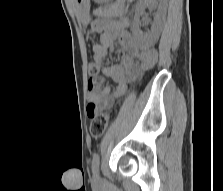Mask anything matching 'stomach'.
I'll return each mask as SVG.
<instances>
[{
	"mask_svg": "<svg viewBox=\"0 0 223 191\" xmlns=\"http://www.w3.org/2000/svg\"><path fill=\"white\" fill-rule=\"evenodd\" d=\"M97 2H104L105 0H95ZM77 13L84 23L89 22L90 0H74Z\"/></svg>",
	"mask_w": 223,
	"mask_h": 191,
	"instance_id": "stomach-1",
	"label": "stomach"
}]
</instances>
